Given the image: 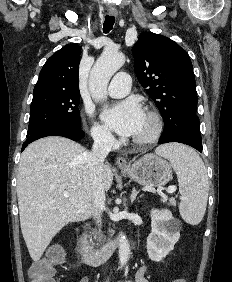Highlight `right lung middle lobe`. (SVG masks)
<instances>
[{"instance_id": "obj_1", "label": "right lung middle lobe", "mask_w": 232, "mask_h": 282, "mask_svg": "<svg viewBox=\"0 0 232 282\" xmlns=\"http://www.w3.org/2000/svg\"><path fill=\"white\" fill-rule=\"evenodd\" d=\"M79 92L43 91L34 93L27 135L56 124L81 128Z\"/></svg>"}]
</instances>
